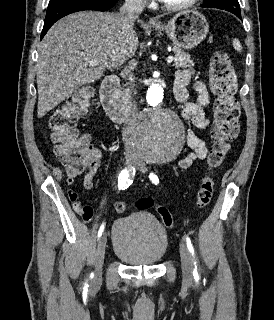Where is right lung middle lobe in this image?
<instances>
[{"label": "right lung middle lobe", "mask_w": 274, "mask_h": 320, "mask_svg": "<svg viewBox=\"0 0 274 320\" xmlns=\"http://www.w3.org/2000/svg\"><path fill=\"white\" fill-rule=\"evenodd\" d=\"M62 1H64V0H50V2H49V5H48V6H51V5H54V4H57V3H60V2H62Z\"/></svg>", "instance_id": "1"}]
</instances>
